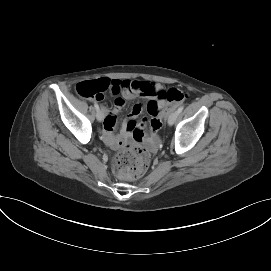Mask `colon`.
<instances>
[{
	"instance_id": "1",
	"label": "colon",
	"mask_w": 271,
	"mask_h": 271,
	"mask_svg": "<svg viewBox=\"0 0 271 271\" xmlns=\"http://www.w3.org/2000/svg\"><path fill=\"white\" fill-rule=\"evenodd\" d=\"M110 88L107 79H99L92 81H82L77 84V93L85 98L101 99L104 92ZM160 97L164 98L171 105H177L187 99V94L181 89L169 88L160 93ZM151 129L157 131L161 127V121L154 119L151 121ZM150 162L149 152L139 146H129L124 151L117 154L114 159L115 172L124 179H137L141 177L148 168Z\"/></svg>"
}]
</instances>
